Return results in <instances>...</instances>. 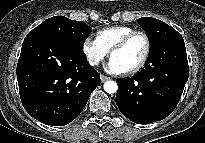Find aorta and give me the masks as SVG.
<instances>
[{
    "mask_svg": "<svg viewBox=\"0 0 205 143\" xmlns=\"http://www.w3.org/2000/svg\"><path fill=\"white\" fill-rule=\"evenodd\" d=\"M103 87H104L105 92L109 94L115 93L118 89L117 83L112 80L106 81Z\"/></svg>",
    "mask_w": 205,
    "mask_h": 143,
    "instance_id": "1",
    "label": "aorta"
}]
</instances>
